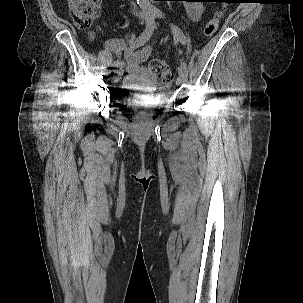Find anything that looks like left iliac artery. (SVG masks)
<instances>
[{
	"label": "left iliac artery",
	"mask_w": 303,
	"mask_h": 303,
	"mask_svg": "<svg viewBox=\"0 0 303 303\" xmlns=\"http://www.w3.org/2000/svg\"><path fill=\"white\" fill-rule=\"evenodd\" d=\"M144 9H145L146 13L149 14V15L155 16L157 18H164V13L160 9L153 6L150 2H145L144 3ZM171 29H172L174 38L177 41H180L182 45H185L186 44V37L184 36L181 29L178 26L173 25V24H171ZM180 68H182L188 75V68H187V65L184 61H181Z\"/></svg>",
	"instance_id": "1"
}]
</instances>
